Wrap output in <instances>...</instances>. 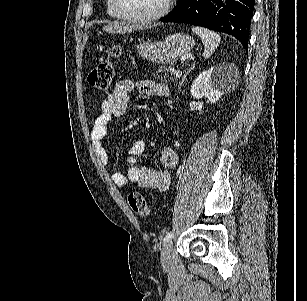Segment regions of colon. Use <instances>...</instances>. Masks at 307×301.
Returning a JSON list of instances; mask_svg holds the SVG:
<instances>
[{
	"label": "colon",
	"mask_w": 307,
	"mask_h": 301,
	"mask_svg": "<svg viewBox=\"0 0 307 301\" xmlns=\"http://www.w3.org/2000/svg\"><path fill=\"white\" fill-rule=\"evenodd\" d=\"M121 54V48L114 46L109 56L99 62L88 76V85L96 92L104 93L109 88L114 76V60ZM128 203L131 209L139 216L149 214V206L145 197L139 192H131L128 195Z\"/></svg>",
	"instance_id": "colon-1"
}]
</instances>
